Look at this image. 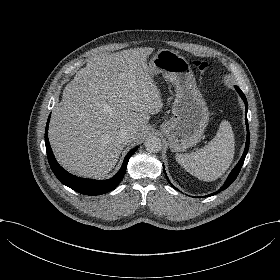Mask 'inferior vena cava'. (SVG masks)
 I'll return each instance as SVG.
<instances>
[{
	"instance_id": "obj_1",
	"label": "inferior vena cava",
	"mask_w": 280,
	"mask_h": 280,
	"mask_svg": "<svg viewBox=\"0 0 280 280\" xmlns=\"http://www.w3.org/2000/svg\"><path fill=\"white\" fill-rule=\"evenodd\" d=\"M119 136L124 143H129L133 140V133L126 129L120 130Z\"/></svg>"
}]
</instances>
